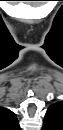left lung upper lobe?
Segmentation results:
<instances>
[{
    "instance_id": "left-lung-upper-lobe-1",
    "label": "left lung upper lobe",
    "mask_w": 63,
    "mask_h": 130,
    "mask_svg": "<svg viewBox=\"0 0 63 130\" xmlns=\"http://www.w3.org/2000/svg\"><path fill=\"white\" fill-rule=\"evenodd\" d=\"M42 130H63V103L52 104L45 115Z\"/></svg>"
}]
</instances>
